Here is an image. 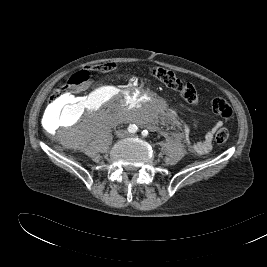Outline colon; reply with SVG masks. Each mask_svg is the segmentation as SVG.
Masks as SVG:
<instances>
[{
    "label": "colon",
    "mask_w": 267,
    "mask_h": 267,
    "mask_svg": "<svg viewBox=\"0 0 267 267\" xmlns=\"http://www.w3.org/2000/svg\"><path fill=\"white\" fill-rule=\"evenodd\" d=\"M97 71L107 72L114 69V64L105 63L95 67ZM150 75L161 84L177 91L180 96L189 104H196L199 96L196 88L190 84L180 80L174 72L163 67H153L150 69ZM90 79V74L86 70H81L74 73L68 80L67 84L57 88L50 97L51 105H58L72 97L73 89L84 86ZM212 111L224 119H229L233 115L231 105L224 98H215L211 103ZM229 138V131L222 127L218 129L215 135V140L218 144H224Z\"/></svg>",
    "instance_id": "obj_1"
}]
</instances>
